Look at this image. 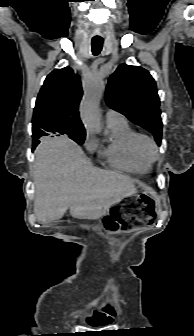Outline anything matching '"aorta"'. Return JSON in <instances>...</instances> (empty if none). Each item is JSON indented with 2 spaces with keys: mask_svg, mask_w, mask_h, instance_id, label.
Here are the masks:
<instances>
[{
  "mask_svg": "<svg viewBox=\"0 0 194 336\" xmlns=\"http://www.w3.org/2000/svg\"><path fill=\"white\" fill-rule=\"evenodd\" d=\"M104 84L100 80H92L86 86L80 104V115L86 129L90 132L100 133L102 121L99 111V101L104 92Z\"/></svg>",
  "mask_w": 194,
  "mask_h": 336,
  "instance_id": "762f6f07",
  "label": "aorta"
}]
</instances>
